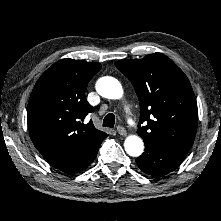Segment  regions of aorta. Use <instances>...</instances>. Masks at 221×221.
<instances>
[{
  "instance_id": "1",
  "label": "aorta",
  "mask_w": 221,
  "mask_h": 221,
  "mask_svg": "<svg viewBox=\"0 0 221 221\" xmlns=\"http://www.w3.org/2000/svg\"><path fill=\"white\" fill-rule=\"evenodd\" d=\"M96 91L108 99H120L123 96V88L120 82L109 76L102 77L97 81ZM124 148L128 155L138 157L143 153L144 143L140 137L131 135L125 139Z\"/></svg>"
}]
</instances>
